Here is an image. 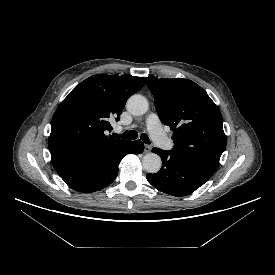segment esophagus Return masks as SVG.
Returning a JSON list of instances; mask_svg holds the SVG:
<instances>
[{"label":"esophagus","instance_id":"obj_1","mask_svg":"<svg viewBox=\"0 0 275 275\" xmlns=\"http://www.w3.org/2000/svg\"><path fill=\"white\" fill-rule=\"evenodd\" d=\"M151 150H152V147H151L150 145H145V146H144V152H145V153H150Z\"/></svg>","mask_w":275,"mask_h":275}]
</instances>
